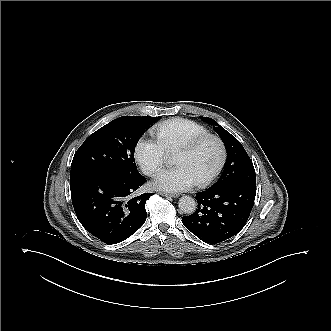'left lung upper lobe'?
<instances>
[{
	"instance_id": "1",
	"label": "left lung upper lobe",
	"mask_w": 331,
	"mask_h": 331,
	"mask_svg": "<svg viewBox=\"0 0 331 331\" xmlns=\"http://www.w3.org/2000/svg\"><path fill=\"white\" fill-rule=\"evenodd\" d=\"M215 124V130L220 135L227 150V162L219 180L212 187H224L232 184H245L256 187V176L252 160L241 143L215 120L201 117Z\"/></svg>"
}]
</instances>
